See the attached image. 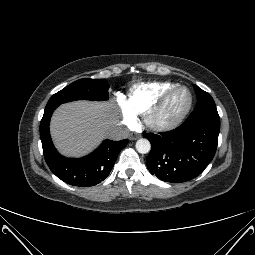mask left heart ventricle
Wrapping results in <instances>:
<instances>
[{"label": "left heart ventricle", "instance_id": "obj_1", "mask_svg": "<svg viewBox=\"0 0 255 255\" xmlns=\"http://www.w3.org/2000/svg\"><path fill=\"white\" fill-rule=\"evenodd\" d=\"M188 103V93L184 90L176 92L167 102L161 111L159 118L161 120H168L179 114Z\"/></svg>", "mask_w": 255, "mask_h": 255}]
</instances>
